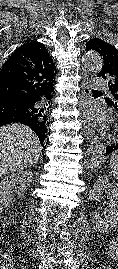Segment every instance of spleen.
<instances>
[{
	"label": "spleen",
	"mask_w": 118,
	"mask_h": 269,
	"mask_svg": "<svg viewBox=\"0 0 118 269\" xmlns=\"http://www.w3.org/2000/svg\"><path fill=\"white\" fill-rule=\"evenodd\" d=\"M109 167L112 176L118 179V150L111 155Z\"/></svg>",
	"instance_id": "1"
}]
</instances>
